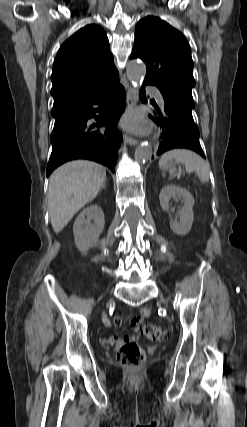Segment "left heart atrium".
<instances>
[{"mask_svg": "<svg viewBox=\"0 0 247 427\" xmlns=\"http://www.w3.org/2000/svg\"><path fill=\"white\" fill-rule=\"evenodd\" d=\"M124 126L136 133H145L148 130L147 124L137 113L129 114L124 120Z\"/></svg>", "mask_w": 247, "mask_h": 427, "instance_id": "39dd6f15", "label": "left heart atrium"}]
</instances>
